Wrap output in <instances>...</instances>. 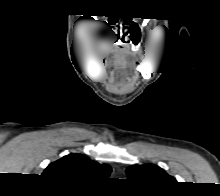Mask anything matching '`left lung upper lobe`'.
Returning a JSON list of instances; mask_svg holds the SVG:
<instances>
[{
    "mask_svg": "<svg viewBox=\"0 0 220 196\" xmlns=\"http://www.w3.org/2000/svg\"><path fill=\"white\" fill-rule=\"evenodd\" d=\"M130 180L150 186H169L177 181L163 169L153 164L136 165L127 168Z\"/></svg>",
    "mask_w": 220,
    "mask_h": 196,
    "instance_id": "1",
    "label": "left lung upper lobe"
}]
</instances>
